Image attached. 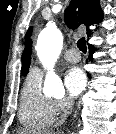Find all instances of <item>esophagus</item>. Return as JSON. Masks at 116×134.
<instances>
[{
    "instance_id": "34e87169",
    "label": "esophagus",
    "mask_w": 116,
    "mask_h": 134,
    "mask_svg": "<svg viewBox=\"0 0 116 134\" xmlns=\"http://www.w3.org/2000/svg\"><path fill=\"white\" fill-rule=\"evenodd\" d=\"M79 107H80V101L77 103V105H76V107L73 111V114H72L73 116H75L77 114V111H78Z\"/></svg>"
}]
</instances>
